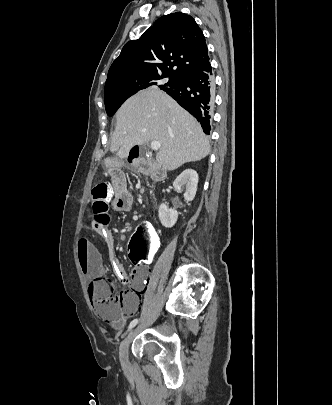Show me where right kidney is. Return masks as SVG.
I'll use <instances>...</instances> for the list:
<instances>
[{
    "instance_id": "ca27d5eb",
    "label": "right kidney",
    "mask_w": 332,
    "mask_h": 405,
    "mask_svg": "<svg viewBox=\"0 0 332 405\" xmlns=\"http://www.w3.org/2000/svg\"><path fill=\"white\" fill-rule=\"evenodd\" d=\"M184 185L186 186L184 198L186 201H192L195 198L198 185V174L195 170H184L173 182L175 190L179 192ZM158 216L162 226L172 228L177 222L178 212L174 209H169L162 203L159 206Z\"/></svg>"
}]
</instances>
